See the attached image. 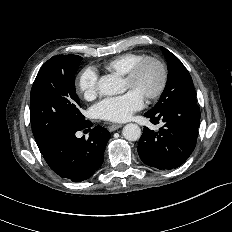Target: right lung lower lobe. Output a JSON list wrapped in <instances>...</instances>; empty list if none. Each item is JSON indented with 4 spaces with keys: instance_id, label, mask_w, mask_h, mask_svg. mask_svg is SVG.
<instances>
[{
    "instance_id": "1",
    "label": "right lung lower lobe",
    "mask_w": 232,
    "mask_h": 232,
    "mask_svg": "<svg viewBox=\"0 0 232 232\" xmlns=\"http://www.w3.org/2000/svg\"><path fill=\"white\" fill-rule=\"evenodd\" d=\"M90 127L92 123L86 121L79 128L60 132L43 153L49 167L60 177L81 182L89 179L101 167L110 133L101 126ZM85 129L90 132L87 140L75 136L77 131Z\"/></svg>"
}]
</instances>
